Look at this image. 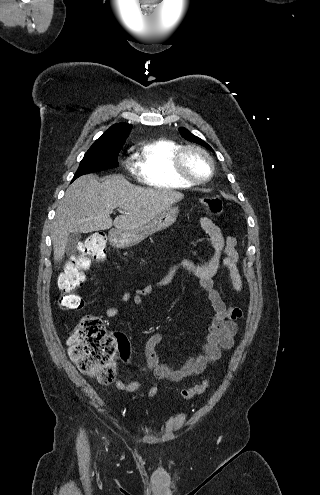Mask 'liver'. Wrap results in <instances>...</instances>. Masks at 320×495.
<instances>
[{"mask_svg": "<svg viewBox=\"0 0 320 495\" xmlns=\"http://www.w3.org/2000/svg\"><path fill=\"white\" fill-rule=\"evenodd\" d=\"M183 198L179 192L132 185L121 175L101 183L93 175L82 176L69 186L56 211L51 235L54 261L64 258L70 233L102 231L112 225L117 231L136 229ZM115 208L123 213L112 221Z\"/></svg>", "mask_w": 320, "mask_h": 495, "instance_id": "1", "label": "liver"}]
</instances>
